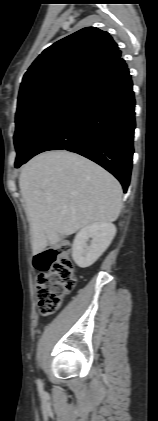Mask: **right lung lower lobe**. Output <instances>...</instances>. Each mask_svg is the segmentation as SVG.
Returning a JSON list of instances; mask_svg holds the SVG:
<instances>
[{
    "instance_id": "98d812e1",
    "label": "right lung lower lobe",
    "mask_w": 158,
    "mask_h": 421,
    "mask_svg": "<svg viewBox=\"0 0 158 421\" xmlns=\"http://www.w3.org/2000/svg\"><path fill=\"white\" fill-rule=\"evenodd\" d=\"M134 107L129 69L119 58L83 85L39 136L22 164L41 152L66 149L104 167L126 192L134 152Z\"/></svg>"
}]
</instances>
